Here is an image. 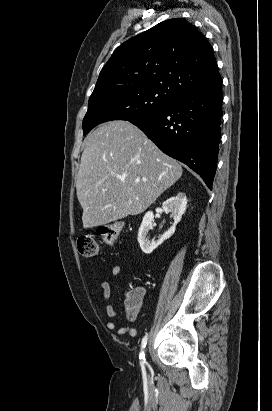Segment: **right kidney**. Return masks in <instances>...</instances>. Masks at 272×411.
Here are the masks:
<instances>
[{"mask_svg":"<svg viewBox=\"0 0 272 411\" xmlns=\"http://www.w3.org/2000/svg\"><path fill=\"white\" fill-rule=\"evenodd\" d=\"M186 205H187V197L182 192L178 193L176 196L171 197L163 202L162 204L163 211L165 213H169L170 216L173 217L174 223L168 229V231L165 232L161 236V238L157 241L155 240L150 241L148 239L149 230L153 228V218H154L153 212L148 211L145 214V216L143 217L141 226L139 228V232H138V242L140 244L141 250L145 254L152 253L154 249H156L161 243H163V241L170 238L174 234L176 225L181 221L182 215L184 214L186 210Z\"/></svg>","mask_w":272,"mask_h":411,"instance_id":"right-kidney-1","label":"right kidney"}]
</instances>
